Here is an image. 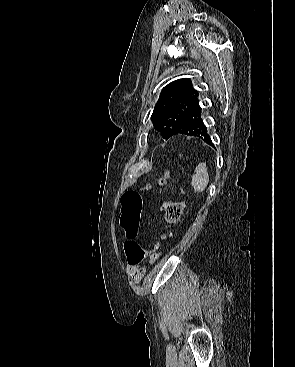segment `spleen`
I'll return each mask as SVG.
<instances>
[{"mask_svg": "<svg viewBox=\"0 0 295 367\" xmlns=\"http://www.w3.org/2000/svg\"><path fill=\"white\" fill-rule=\"evenodd\" d=\"M209 182L206 163L201 162L195 169V174L192 176V186L196 192H203Z\"/></svg>", "mask_w": 295, "mask_h": 367, "instance_id": "3e777b00", "label": "spleen"}]
</instances>
